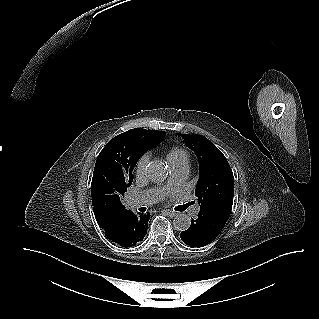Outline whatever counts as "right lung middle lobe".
Returning a JSON list of instances; mask_svg holds the SVG:
<instances>
[{
	"instance_id": "dd1d6c3e",
	"label": "right lung middle lobe",
	"mask_w": 319,
	"mask_h": 319,
	"mask_svg": "<svg viewBox=\"0 0 319 319\" xmlns=\"http://www.w3.org/2000/svg\"><path fill=\"white\" fill-rule=\"evenodd\" d=\"M141 155L127 144L111 139L98 155L91 183L94 212L121 207L133 181L132 171Z\"/></svg>"
}]
</instances>
